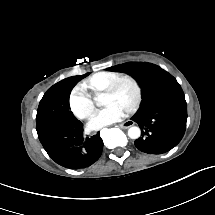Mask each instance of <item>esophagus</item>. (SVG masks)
Returning <instances> with one entry per match:
<instances>
[{"label": "esophagus", "instance_id": "34e87169", "mask_svg": "<svg viewBox=\"0 0 215 215\" xmlns=\"http://www.w3.org/2000/svg\"><path fill=\"white\" fill-rule=\"evenodd\" d=\"M133 125H134V121H132V120H127V121L121 123L119 126H120V128L125 129V128H129V127H131V126H133Z\"/></svg>", "mask_w": 215, "mask_h": 215}]
</instances>
